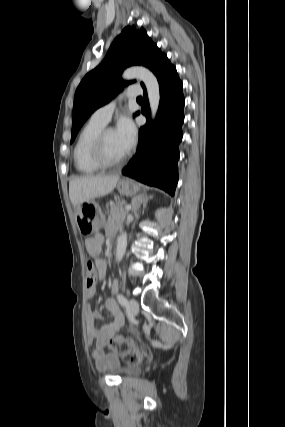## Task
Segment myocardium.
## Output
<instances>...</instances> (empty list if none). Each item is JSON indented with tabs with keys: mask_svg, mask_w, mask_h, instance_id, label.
<instances>
[{
	"mask_svg": "<svg viewBox=\"0 0 285 427\" xmlns=\"http://www.w3.org/2000/svg\"><path fill=\"white\" fill-rule=\"evenodd\" d=\"M111 128H103L95 138L91 147V158L93 162L102 169L114 168L122 165L130 156V152H127L124 156L117 160H109L106 156L105 151V138L107 132Z\"/></svg>",
	"mask_w": 285,
	"mask_h": 427,
	"instance_id": "1",
	"label": "myocardium"
}]
</instances>
